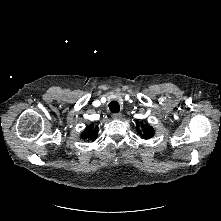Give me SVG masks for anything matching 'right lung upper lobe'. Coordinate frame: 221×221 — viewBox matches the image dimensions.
Returning <instances> with one entry per match:
<instances>
[{
	"label": "right lung upper lobe",
	"instance_id": "1",
	"mask_svg": "<svg viewBox=\"0 0 221 221\" xmlns=\"http://www.w3.org/2000/svg\"><path fill=\"white\" fill-rule=\"evenodd\" d=\"M98 134V126H94L93 124L89 125L85 131L82 133L83 139H88L94 141Z\"/></svg>",
	"mask_w": 221,
	"mask_h": 221
}]
</instances>
